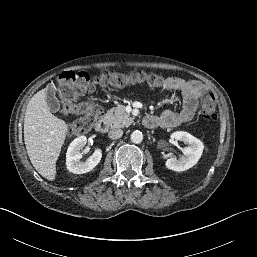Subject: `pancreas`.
I'll return each instance as SVG.
<instances>
[{
  "label": "pancreas",
  "mask_w": 257,
  "mask_h": 257,
  "mask_svg": "<svg viewBox=\"0 0 257 257\" xmlns=\"http://www.w3.org/2000/svg\"><path fill=\"white\" fill-rule=\"evenodd\" d=\"M105 120L111 128H124L128 127L134 121V118L125 112L124 106L119 105L107 111Z\"/></svg>",
  "instance_id": "1"
}]
</instances>
